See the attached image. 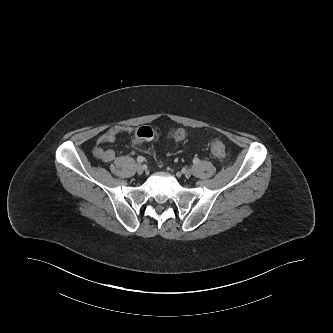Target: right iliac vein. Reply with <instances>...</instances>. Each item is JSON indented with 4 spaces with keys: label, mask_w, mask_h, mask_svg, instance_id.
I'll list each match as a JSON object with an SVG mask.
<instances>
[{
    "label": "right iliac vein",
    "mask_w": 333,
    "mask_h": 333,
    "mask_svg": "<svg viewBox=\"0 0 333 333\" xmlns=\"http://www.w3.org/2000/svg\"><path fill=\"white\" fill-rule=\"evenodd\" d=\"M136 171L138 174H142L144 172V166L142 164H137Z\"/></svg>",
    "instance_id": "1"
}]
</instances>
